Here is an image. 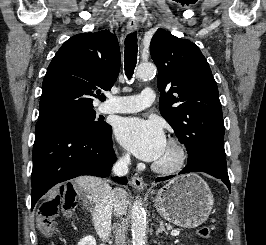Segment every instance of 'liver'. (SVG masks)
Returning a JSON list of instances; mask_svg holds the SVG:
<instances>
[{
  "label": "liver",
  "mask_w": 266,
  "mask_h": 245,
  "mask_svg": "<svg viewBox=\"0 0 266 245\" xmlns=\"http://www.w3.org/2000/svg\"><path fill=\"white\" fill-rule=\"evenodd\" d=\"M75 183L78 187H82L86 191L90 203H93L97 191H101L107 185V181L98 179V177H78ZM113 191L115 193L113 197V215L115 217H122L127 211L128 193L124 189H113Z\"/></svg>",
  "instance_id": "1"
}]
</instances>
